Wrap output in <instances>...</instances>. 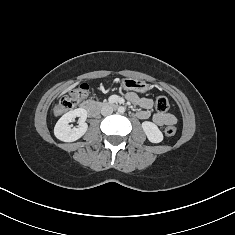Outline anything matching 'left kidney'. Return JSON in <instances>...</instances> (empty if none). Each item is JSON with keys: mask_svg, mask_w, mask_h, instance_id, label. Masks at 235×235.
<instances>
[{"mask_svg": "<svg viewBox=\"0 0 235 235\" xmlns=\"http://www.w3.org/2000/svg\"><path fill=\"white\" fill-rule=\"evenodd\" d=\"M142 128L148 140L152 143H160L163 140V134L156 124L150 121H144Z\"/></svg>", "mask_w": 235, "mask_h": 235, "instance_id": "1", "label": "left kidney"}]
</instances>
